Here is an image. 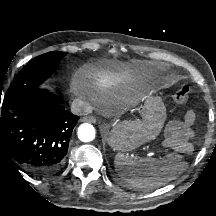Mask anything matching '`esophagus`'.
<instances>
[{"mask_svg":"<svg viewBox=\"0 0 216 216\" xmlns=\"http://www.w3.org/2000/svg\"><path fill=\"white\" fill-rule=\"evenodd\" d=\"M81 120L85 121V122H89V123H95L96 122V118L94 116L83 117Z\"/></svg>","mask_w":216,"mask_h":216,"instance_id":"1","label":"esophagus"}]
</instances>
